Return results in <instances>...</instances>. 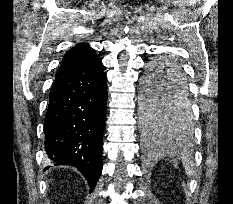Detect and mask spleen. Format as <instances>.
Wrapping results in <instances>:
<instances>
[{"label": "spleen", "instance_id": "3e777b00", "mask_svg": "<svg viewBox=\"0 0 233 204\" xmlns=\"http://www.w3.org/2000/svg\"><path fill=\"white\" fill-rule=\"evenodd\" d=\"M172 144L168 145V148H171ZM169 153H173L175 155H178L182 161V164L185 168L186 175L190 178L194 174V160L192 156L187 151L186 147L180 148V150L177 149V147H174L168 151Z\"/></svg>", "mask_w": 233, "mask_h": 204}]
</instances>
